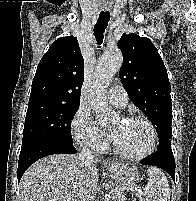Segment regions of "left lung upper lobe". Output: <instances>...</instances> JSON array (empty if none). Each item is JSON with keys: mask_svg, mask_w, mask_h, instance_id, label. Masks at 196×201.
Instances as JSON below:
<instances>
[{"mask_svg": "<svg viewBox=\"0 0 196 201\" xmlns=\"http://www.w3.org/2000/svg\"><path fill=\"white\" fill-rule=\"evenodd\" d=\"M123 54L120 78L130 100L157 129L159 142L172 138L171 87L166 67L156 47L146 37L123 34L118 41Z\"/></svg>", "mask_w": 196, "mask_h": 201, "instance_id": "obj_1", "label": "left lung upper lobe"}]
</instances>
